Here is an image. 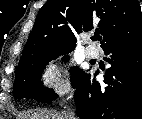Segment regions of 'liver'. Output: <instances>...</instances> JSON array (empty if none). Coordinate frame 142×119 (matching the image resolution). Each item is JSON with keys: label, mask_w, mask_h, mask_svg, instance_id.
I'll use <instances>...</instances> for the list:
<instances>
[{"label": "liver", "mask_w": 142, "mask_h": 119, "mask_svg": "<svg viewBox=\"0 0 142 119\" xmlns=\"http://www.w3.org/2000/svg\"><path fill=\"white\" fill-rule=\"evenodd\" d=\"M28 117V116H25ZM30 119H65L64 116L58 114H52L49 112H36L32 116H29Z\"/></svg>", "instance_id": "6515ba94"}]
</instances>
